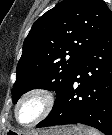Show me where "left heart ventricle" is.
<instances>
[{"label":"left heart ventricle","mask_w":112,"mask_h":135,"mask_svg":"<svg viewBox=\"0 0 112 135\" xmlns=\"http://www.w3.org/2000/svg\"><path fill=\"white\" fill-rule=\"evenodd\" d=\"M43 109V101L39 97H29L24 100L18 108V119L27 124L35 120Z\"/></svg>","instance_id":"b2bd125f"}]
</instances>
